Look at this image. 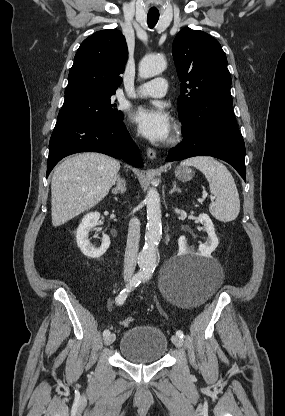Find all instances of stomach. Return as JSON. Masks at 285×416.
Returning <instances> with one entry per match:
<instances>
[{
	"label": "stomach",
	"mask_w": 285,
	"mask_h": 416,
	"mask_svg": "<svg viewBox=\"0 0 285 416\" xmlns=\"http://www.w3.org/2000/svg\"><path fill=\"white\" fill-rule=\"evenodd\" d=\"M194 172L191 168H183V166H179L175 170V178L177 180H191L193 178Z\"/></svg>",
	"instance_id": "0dacf381"
}]
</instances>
